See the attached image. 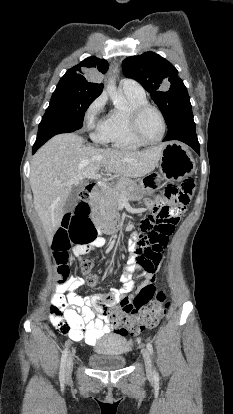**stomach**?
<instances>
[{"label": "stomach", "instance_id": "1", "mask_svg": "<svg viewBox=\"0 0 233 414\" xmlns=\"http://www.w3.org/2000/svg\"><path fill=\"white\" fill-rule=\"evenodd\" d=\"M159 168L161 173L168 179L171 180H181L184 177L190 175L195 168L194 159L191 154L173 142L166 143L160 157ZM158 171H153V173H147L142 181L144 186L133 184L129 188L128 199L137 200L143 195L147 194L149 191L146 188L157 187V179L155 176H158ZM151 180H155L152 182Z\"/></svg>", "mask_w": 233, "mask_h": 414}]
</instances>
